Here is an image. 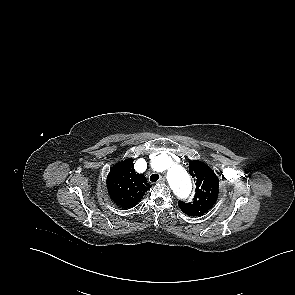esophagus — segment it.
<instances>
[{"instance_id":"34e87169","label":"esophagus","mask_w":295,"mask_h":295,"mask_svg":"<svg viewBox=\"0 0 295 295\" xmlns=\"http://www.w3.org/2000/svg\"><path fill=\"white\" fill-rule=\"evenodd\" d=\"M165 178L164 177H161L160 179H159V181H158V183H165Z\"/></svg>"}]
</instances>
